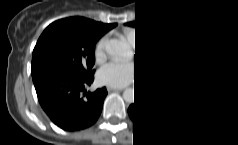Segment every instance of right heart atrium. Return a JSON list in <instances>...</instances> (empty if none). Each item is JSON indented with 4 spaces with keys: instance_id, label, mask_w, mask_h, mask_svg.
<instances>
[{
    "instance_id": "obj_1",
    "label": "right heart atrium",
    "mask_w": 238,
    "mask_h": 145,
    "mask_svg": "<svg viewBox=\"0 0 238 145\" xmlns=\"http://www.w3.org/2000/svg\"><path fill=\"white\" fill-rule=\"evenodd\" d=\"M106 38L103 37L98 40L94 46V57L97 62H101L106 57Z\"/></svg>"
}]
</instances>
